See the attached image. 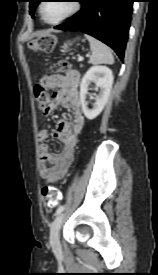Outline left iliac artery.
<instances>
[{"label": "left iliac artery", "instance_id": "left-iliac-artery-1", "mask_svg": "<svg viewBox=\"0 0 158 275\" xmlns=\"http://www.w3.org/2000/svg\"><path fill=\"white\" fill-rule=\"evenodd\" d=\"M65 209V205H61L57 208L55 215H58Z\"/></svg>", "mask_w": 158, "mask_h": 275}]
</instances>
